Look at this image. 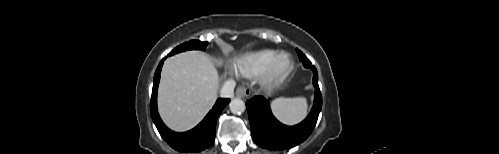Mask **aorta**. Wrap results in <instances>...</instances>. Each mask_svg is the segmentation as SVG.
<instances>
[{
  "label": "aorta",
  "instance_id": "aorta-1",
  "mask_svg": "<svg viewBox=\"0 0 499 154\" xmlns=\"http://www.w3.org/2000/svg\"><path fill=\"white\" fill-rule=\"evenodd\" d=\"M229 108L233 114H241L245 111L246 106H245V103L243 100H241L239 98H235V99L231 100V102L229 104Z\"/></svg>",
  "mask_w": 499,
  "mask_h": 154
}]
</instances>
